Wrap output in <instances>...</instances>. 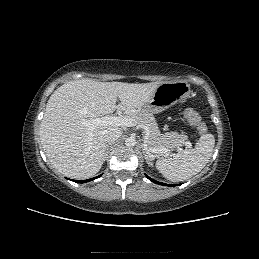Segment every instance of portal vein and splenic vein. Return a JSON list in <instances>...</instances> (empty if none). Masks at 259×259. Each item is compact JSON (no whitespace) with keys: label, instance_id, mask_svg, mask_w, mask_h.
<instances>
[{"label":"portal vein and splenic vein","instance_id":"18ae733b","mask_svg":"<svg viewBox=\"0 0 259 259\" xmlns=\"http://www.w3.org/2000/svg\"><path fill=\"white\" fill-rule=\"evenodd\" d=\"M83 125L86 126L90 131L94 130L98 126L103 125H112V126H120V127H132L136 125V122L132 118L122 117V116H104L98 117L90 120H83ZM187 146H190V143H187ZM145 147L153 153H167L169 152L166 148H150L147 144Z\"/></svg>","mask_w":259,"mask_h":259}]
</instances>
